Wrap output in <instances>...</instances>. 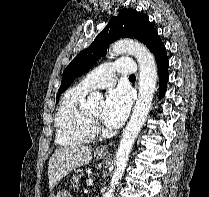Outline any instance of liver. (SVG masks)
I'll return each instance as SVG.
<instances>
[{
	"label": "liver",
	"instance_id": "1",
	"mask_svg": "<svg viewBox=\"0 0 209 197\" xmlns=\"http://www.w3.org/2000/svg\"><path fill=\"white\" fill-rule=\"evenodd\" d=\"M92 158L89 146L59 147L50 157L48 163V178L50 190L58 184L69 172L86 165Z\"/></svg>",
	"mask_w": 209,
	"mask_h": 197
}]
</instances>
